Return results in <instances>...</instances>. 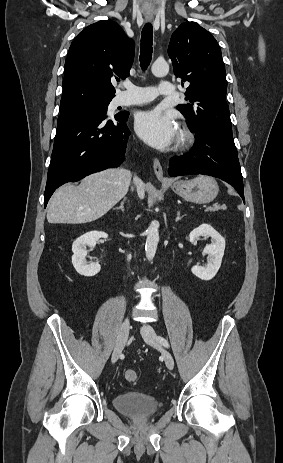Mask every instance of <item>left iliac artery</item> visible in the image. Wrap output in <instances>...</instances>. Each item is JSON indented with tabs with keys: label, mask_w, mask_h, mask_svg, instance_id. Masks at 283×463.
I'll return each mask as SVG.
<instances>
[{
	"label": "left iliac artery",
	"mask_w": 283,
	"mask_h": 463,
	"mask_svg": "<svg viewBox=\"0 0 283 463\" xmlns=\"http://www.w3.org/2000/svg\"><path fill=\"white\" fill-rule=\"evenodd\" d=\"M158 340L160 341L161 344H163L165 347H168L169 344H168V341L163 338V337H158Z\"/></svg>",
	"instance_id": "left-iliac-artery-1"
}]
</instances>
